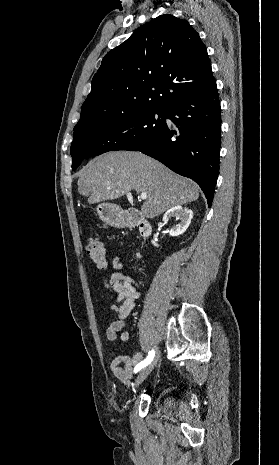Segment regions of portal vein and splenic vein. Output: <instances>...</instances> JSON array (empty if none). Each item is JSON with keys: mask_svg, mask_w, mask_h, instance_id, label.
Returning a JSON list of instances; mask_svg holds the SVG:
<instances>
[{"mask_svg": "<svg viewBox=\"0 0 279 465\" xmlns=\"http://www.w3.org/2000/svg\"><path fill=\"white\" fill-rule=\"evenodd\" d=\"M140 198H141L142 200H145V199L147 198V194H146L145 192H141Z\"/></svg>", "mask_w": 279, "mask_h": 465, "instance_id": "portal-vein-and-splenic-vein-1", "label": "portal vein and splenic vein"}]
</instances>
